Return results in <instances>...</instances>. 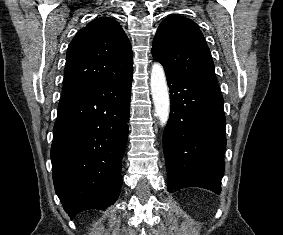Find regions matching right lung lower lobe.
Wrapping results in <instances>:
<instances>
[{"mask_svg": "<svg viewBox=\"0 0 283 235\" xmlns=\"http://www.w3.org/2000/svg\"><path fill=\"white\" fill-rule=\"evenodd\" d=\"M132 75L60 99L51 160L56 194L71 219L105 210L119 196Z\"/></svg>", "mask_w": 283, "mask_h": 235, "instance_id": "right-lung-lower-lobe-1", "label": "right lung lower lobe"}]
</instances>
